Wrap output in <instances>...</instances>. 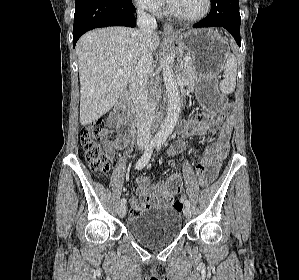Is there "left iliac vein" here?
<instances>
[{
    "instance_id": "1",
    "label": "left iliac vein",
    "mask_w": 299,
    "mask_h": 280,
    "mask_svg": "<svg viewBox=\"0 0 299 280\" xmlns=\"http://www.w3.org/2000/svg\"><path fill=\"white\" fill-rule=\"evenodd\" d=\"M191 213H192L191 208L186 206L185 209H184L185 217L189 218L191 216Z\"/></svg>"
}]
</instances>
